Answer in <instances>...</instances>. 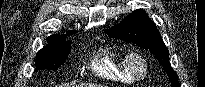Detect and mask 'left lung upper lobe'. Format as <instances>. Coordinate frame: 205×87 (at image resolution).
<instances>
[{
	"mask_svg": "<svg viewBox=\"0 0 205 87\" xmlns=\"http://www.w3.org/2000/svg\"><path fill=\"white\" fill-rule=\"evenodd\" d=\"M110 37L132 42L154 54L170 77L172 87H180L178 76L169 62L168 50L160 36L156 24L142 9L129 14L121 23L105 30Z\"/></svg>",
	"mask_w": 205,
	"mask_h": 87,
	"instance_id": "5c2ea615",
	"label": "left lung upper lobe"
}]
</instances>
